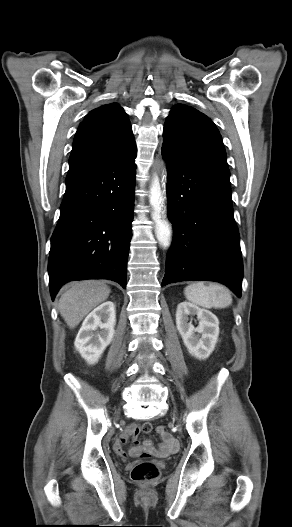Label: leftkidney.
Instances as JSON below:
<instances>
[{
    "mask_svg": "<svg viewBox=\"0 0 292 527\" xmlns=\"http://www.w3.org/2000/svg\"><path fill=\"white\" fill-rule=\"evenodd\" d=\"M197 316L199 325L194 327L189 316ZM176 325L184 345L197 359H206L213 352L219 336L218 318L210 311L188 302L178 304Z\"/></svg>",
    "mask_w": 292,
    "mask_h": 527,
    "instance_id": "1",
    "label": "left kidney"
}]
</instances>
